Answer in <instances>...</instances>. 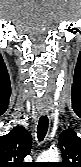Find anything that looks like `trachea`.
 Here are the masks:
<instances>
[{"mask_svg":"<svg viewBox=\"0 0 81 167\" xmlns=\"http://www.w3.org/2000/svg\"><path fill=\"white\" fill-rule=\"evenodd\" d=\"M48 124L49 120L47 115L41 116L37 126V137L39 141H43V139L45 138V135L48 131Z\"/></svg>","mask_w":81,"mask_h":167,"instance_id":"trachea-1","label":"trachea"}]
</instances>
